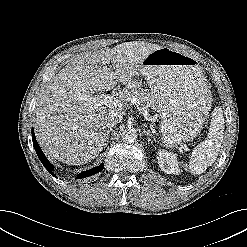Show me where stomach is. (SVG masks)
<instances>
[{
	"mask_svg": "<svg viewBox=\"0 0 247 247\" xmlns=\"http://www.w3.org/2000/svg\"><path fill=\"white\" fill-rule=\"evenodd\" d=\"M139 71L151 89L164 144L178 146L195 138L211 100L198 61L160 47L143 59Z\"/></svg>",
	"mask_w": 247,
	"mask_h": 247,
	"instance_id": "0dacf381",
	"label": "stomach"
}]
</instances>
